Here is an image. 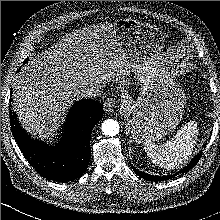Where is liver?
<instances>
[{
	"label": "liver",
	"mask_w": 220,
	"mask_h": 220,
	"mask_svg": "<svg viewBox=\"0 0 220 220\" xmlns=\"http://www.w3.org/2000/svg\"><path fill=\"white\" fill-rule=\"evenodd\" d=\"M128 73L129 63L115 24L76 30L31 59L15 77V111L26 130L46 137L84 89Z\"/></svg>",
	"instance_id": "liver-1"
}]
</instances>
